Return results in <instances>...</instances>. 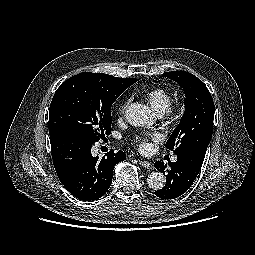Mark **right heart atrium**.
Instances as JSON below:
<instances>
[{"label":"right heart atrium","mask_w":255,"mask_h":255,"mask_svg":"<svg viewBox=\"0 0 255 255\" xmlns=\"http://www.w3.org/2000/svg\"><path fill=\"white\" fill-rule=\"evenodd\" d=\"M129 105V100H126L119 108V113L124 114Z\"/></svg>","instance_id":"1"}]
</instances>
